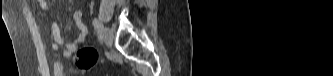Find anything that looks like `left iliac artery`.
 Returning a JSON list of instances; mask_svg holds the SVG:
<instances>
[{"mask_svg": "<svg viewBox=\"0 0 333 76\" xmlns=\"http://www.w3.org/2000/svg\"><path fill=\"white\" fill-rule=\"evenodd\" d=\"M93 25L95 26V28L100 32V27H101V24L99 22V20L97 18H94L93 20Z\"/></svg>", "mask_w": 333, "mask_h": 76, "instance_id": "1", "label": "left iliac artery"}]
</instances>
